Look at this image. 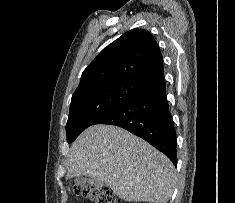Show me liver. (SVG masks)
Returning a JSON list of instances; mask_svg holds the SVG:
<instances>
[{
  "label": "liver",
  "mask_w": 235,
  "mask_h": 203,
  "mask_svg": "<svg viewBox=\"0 0 235 203\" xmlns=\"http://www.w3.org/2000/svg\"><path fill=\"white\" fill-rule=\"evenodd\" d=\"M82 176L107 184L124 201L166 203L176 172L171 161L143 139L98 124L84 130L68 154L66 177Z\"/></svg>",
  "instance_id": "6515ba94"
}]
</instances>
